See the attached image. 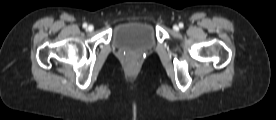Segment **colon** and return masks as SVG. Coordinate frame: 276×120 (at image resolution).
<instances>
[{
	"instance_id": "colon-1",
	"label": "colon",
	"mask_w": 276,
	"mask_h": 120,
	"mask_svg": "<svg viewBox=\"0 0 276 120\" xmlns=\"http://www.w3.org/2000/svg\"><path fill=\"white\" fill-rule=\"evenodd\" d=\"M128 64H129V65H133V64H134V61H133V60H130V61L128 62Z\"/></svg>"
}]
</instances>
